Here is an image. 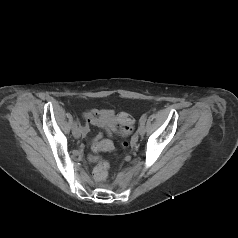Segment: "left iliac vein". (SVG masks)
<instances>
[{
	"instance_id": "1",
	"label": "left iliac vein",
	"mask_w": 238,
	"mask_h": 238,
	"mask_svg": "<svg viewBox=\"0 0 238 238\" xmlns=\"http://www.w3.org/2000/svg\"><path fill=\"white\" fill-rule=\"evenodd\" d=\"M144 133H145V126L144 124H140L138 127V134L142 136L144 135Z\"/></svg>"
}]
</instances>
